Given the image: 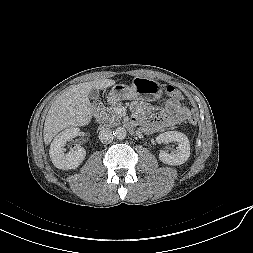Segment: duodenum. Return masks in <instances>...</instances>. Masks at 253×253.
Segmentation results:
<instances>
[{
	"label": "duodenum",
	"mask_w": 253,
	"mask_h": 253,
	"mask_svg": "<svg viewBox=\"0 0 253 253\" xmlns=\"http://www.w3.org/2000/svg\"><path fill=\"white\" fill-rule=\"evenodd\" d=\"M103 108L99 104L93 106V116L95 119L99 120L102 115Z\"/></svg>",
	"instance_id": "410a0bca"
}]
</instances>
